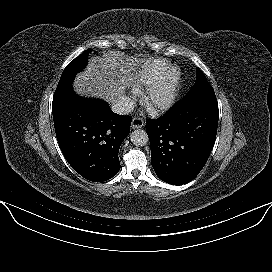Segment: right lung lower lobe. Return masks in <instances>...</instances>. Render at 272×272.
<instances>
[{
    "label": "right lung lower lobe",
    "instance_id": "1",
    "mask_svg": "<svg viewBox=\"0 0 272 272\" xmlns=\"http://www.w3.org/2000/svg\"><path fill=\"white\" fill-rule=\"evenodd\" d=\"M52 111L60 149L77 173L93 182L118 173V151L130 132V116L118 115L105 101L83 98L74 91Z\"/></svg>",
    "mask_w": 272,
    "mask_h": 272
}]
</instances>
